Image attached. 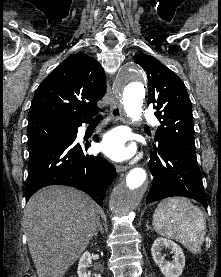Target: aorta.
Instances as JSON below:
<instances>
[{"mask_svg":"<svg viewBox=\"0 0 221 277\" xmlns=\"http://www.w3.org/2000/svg\"><path fill=\"white\" fill-rule=\"evenodd\" d=\"M116 89L122 97L124 110L132 122L141 120L145 98V73L136 64L123 66L117 77ZM147 173L142 167H135L124 181L112 191L109 205L111 211L123 218L134 211L147 189Z\"/></svg>","mask_w":221,"mask_h":277,"instance_id":"762f6f07","label":"aorta"}]
</instances>
